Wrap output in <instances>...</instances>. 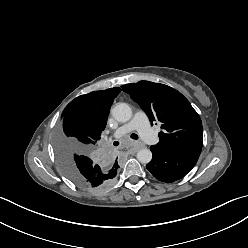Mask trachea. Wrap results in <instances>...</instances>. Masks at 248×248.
<instances>
[{
    "instance_id": "obj_1",
    "label": "trachea",
    "mask_w": 248,
    "mask_h": 248,
    "mask_svg": "<svg viewBox=\"0 0 248 248\" xmlns=\"http://www.w3.org/2000/svg\"><path fill=\"white\" fill-rule=\"evenodd\" d=\"M131 138L137 140L138 139V136H137V134H131ZM113 145L114 146H118L119 145V142L118 141H115L113 143Z\"/></svg>"
}]
</instances>
